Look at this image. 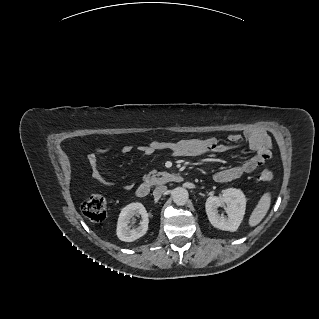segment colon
<instances>
[{
	"label": "colon",
	"instance_id": "5ec220e1",
	"mask_svg": "<svg viewBox=\"0 0 319 319\" xmlns=\"http://www.w3.org/2000/svg\"><path fill=\"white\" fill-rule=\"evenodd\" d=\"M260 153L266 158L270 157L271 145L269 142H265L261 146ZM260 178L263 181H272L274 179V174L270 170H264L261 172ZM81 210L84 216L89 220L94 222L103 221L107 213L106 198L101 194H93L83 202Z\"/></svg>",
	"mask_w": 319,
	"mask_h": 319
}]
</instances>
